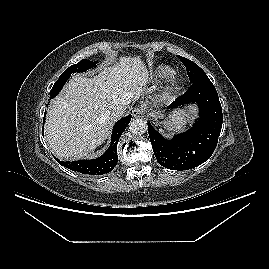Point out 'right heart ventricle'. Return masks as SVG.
I'll use <instances>...</instances> for the list:
<instances>
[{"label": "right heart ventricle", "mask_w": 269, "mask_h": 269, "mask_svg": "<svg viewBox=\"0 0 269 269\" xmlns=\"http://www.w3.org/2000/svg\"><path fill=\"white\" fill-rule=\"evenodd\" d=\"M173 74L174 70L170 66L159 64L150 70L148 79L152 83H161L171 78Z\"/></svg>", "instance_id": "e07e8e85"}]
</instances>
